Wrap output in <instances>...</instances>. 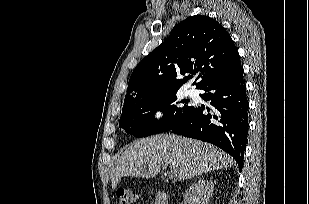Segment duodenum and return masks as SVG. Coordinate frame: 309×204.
<instances>
[{
	"instance_id": "duodenum-1",
	"label": "duodenum",
	"mask_w": 309,
	"mask_h": 204,
	"mask_svg": "<svg viewBox=\"0 0 309 204\" xmlns=\"http://www.w3.org/2000/svg\"><path fill=\"white\" fill-rule=\"evenodd\" d=\"M155 204H166V198L164 197V195H158Z\"/></svg>"
}]
</instances>
